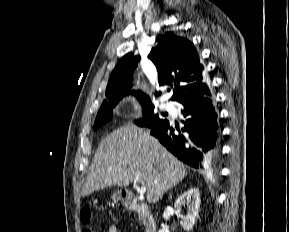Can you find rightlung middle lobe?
<instances>
[{"instance_id": "right-lung-middle-lobe-1", "label": "right lung middle lobe", "mask_w": 289, "mask_h": 232, "mask_svg": "<svg viewBox=\"0 0 289 232\" xmlns=\"http://www.w3.org/2000/svg\"><path fill=\"white\" fill-rule=\"evenodd\" d=\"M122 97H113L108 99V101L105 100V102L101 105L95 123H94V130L98 129L103 124L107 123L112 119L113 116V108L116 106L118 101ZM140 103L143 106V119H138L135 121V123L139 126H148L149 128H153L163 121L164 119L160 118L158 114L154 113L153 111V105L151 102L140 100ZM164 115V114H162Z\"/></svg>"}]
</instances>
